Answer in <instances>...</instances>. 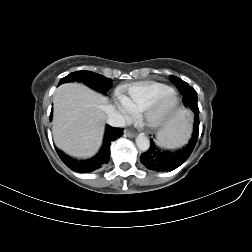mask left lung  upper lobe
Returning <instances> with one entry per match:
<instances>
[{
  "label": "left lung upper lobe",
  "mask_w": 252,
  "mask_h": 252,
  "mask_svg": "<svg viewBox=\"0 0 252 252\" xmlns=\"http://www.w3.org/2000/svg\"><path fill=\"white\" fill-rule=\"evenodd\" d=\"M171 80L172 82L177 85L178 83H186L185 81L181 80L180 78L178 77H175V76H171Z\"/></svg>",
  "instance_id": "5c2ea615"
}]
</instances>
